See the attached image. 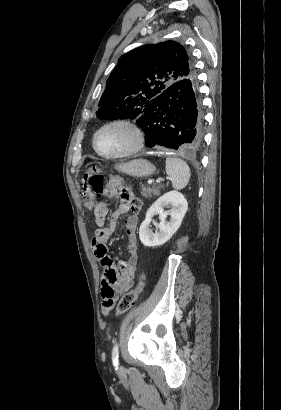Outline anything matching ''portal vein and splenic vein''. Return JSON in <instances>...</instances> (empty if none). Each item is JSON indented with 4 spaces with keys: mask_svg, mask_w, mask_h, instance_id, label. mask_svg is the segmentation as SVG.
Returning <instances> with one entry per match:
<instances>
[{
    "mask_svg": "<svg viewBox=\"0 0 281 410\" xmlns=\"http://www.w3.org/2000/svg\"><path fill=\"white\" fill-rule=\"evenodd\" d=\"M153 180H148V184H152Z\"/></svg>",
    "mask_w": 281,
    "mask_h": 410,
    "instance_id": "obj_1",
    "label": "portal vein and splenic vein"
}]
</instances>
